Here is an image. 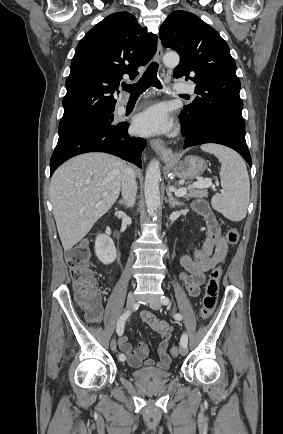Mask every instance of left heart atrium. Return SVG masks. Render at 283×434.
I'll return each instance as SVG.
<instances>
[{"mask_svg": "<svg viewBox=\"0 0 283 434\" xmlns=\"http://www.w3.org/2000/svg\"><path fill=\"white\" fill-rule=\"evenodd\" d=\"M172 126L171 114L164 104H155L147 108L137 116L134 122L135 132L145 136L166 133Z\"/></svg>", "mask_w": 283, "mask_h": 434, "instance_id": "obj_1", "label": "left heart atrium"}]
</instances>
